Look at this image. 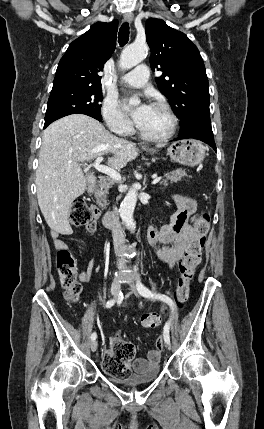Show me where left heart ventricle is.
<instances>
[{
  "label": "left heart ventricle",
  "mask_w": 264,
  "mask_h": 429,
  "mask_svg": "<svg viewBox=\"0 0 264 429\" xmlns=\"http://www.w3.org/2000/svg\"><path fill=\"white\" fill-rule=\"evenodd\" d=\"M138 127L148 136H161L169 130L170 119L164 111L150 107L147 115Z\"/></svg>",
  "instance_id": "b2bd125f"
}]
</instances>
